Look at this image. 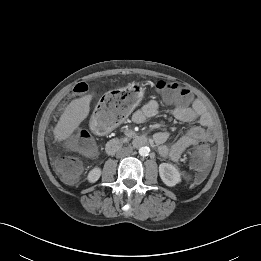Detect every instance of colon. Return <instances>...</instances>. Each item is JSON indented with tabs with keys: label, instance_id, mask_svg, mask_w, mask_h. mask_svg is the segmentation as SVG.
<instances>
[{
	"label": "colon",
	"instance_id": "obj_1",
	"mask_svg": "<svg viewBox=\"0 0 261 261\" xmlns=\"http://www.w3.org/2000/svg\"><path fill=\"white\" fill-rule=\"evenodd\" d=\"M156 90L161 94L163 100L168 103H174L185 106L190 102L189 90L177 83L158 81L155 85ZM88 87L84 83L77 84L73 91L81 94L87 91ZM126 93L118 91L107 95L101 105L102 121L100 124L104 128L120 122L127 114L130 104ZM69 150L79 152L85 156H93L96 153V143L87 129H79L74 136L66 141ZM209 164V153L205 147H198L190 159L191 167L204 173ZM57 172L64 182L73 184L79 178L82 172V163L79 158L71 155L59 156L54 162Z\"/></svg>",
	"mask_w": 261,
	"mask_h": 261
}]
</instances>
